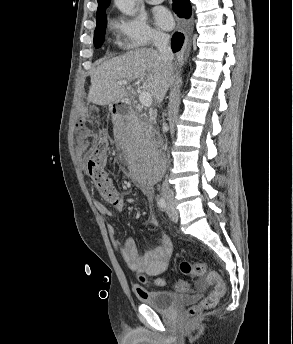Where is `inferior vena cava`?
<instances>
[{
	"instance_id": "obj_1",
	"label": "inferior vena cava",
	"mask_w": 293,
	"mask_h": 344,
	"mask_svg": "<svg viewBox=\"0 0 293 344\" xmlns=\"http://www.w3.org/2000/svg\"><path fill=\"white\" fill-rule=\"evenodd\" d=\"M152 40L159 52L160 58L163 61L166 70L171 71L174 55L170 47V36L163 32H154L152 35ZM162 194L166 198L174 196L167 181H164L162 184Z\"/></svg>"
}]
</instances>
